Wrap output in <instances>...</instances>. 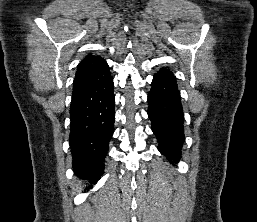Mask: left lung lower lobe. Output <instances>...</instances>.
Masks as SVG:
<instances>
[{
    "instance_id": "obj_1",
    "label": "left lung lower lobe",
    "mask_w": 257,
    "mask_h": 222,
    "mask_svg": "<svg viewBox=\"0 0 257 222\" xmlns=\"http://www.w3.org/2000/svg\"><path fill=\"white\" fill-rule=\"evenodd\" d=\"M148 116L152 131L158 139L159 151L177 163L184 143V118L176 78L162 68L155 74L148 94Z\"/></svg>"
}]
</instances>
